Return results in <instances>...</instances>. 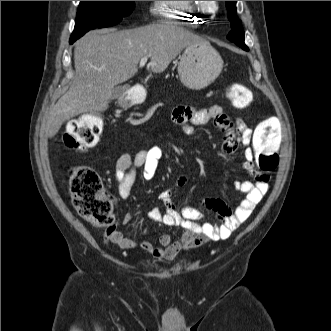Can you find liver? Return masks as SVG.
I'll return each mask as SVG.
<instances>
[{
    "mask_svg": "<svg viewBox=\"0 0 331 331\" xmlns=\"http://www.w3.org/2000/svg\"><path fill=\"white\" fill-rule=\"evenodd\" d=\"M199 41L204 40L166 21L87 33L75 43L73 82L45 117L46 136L54 137L66 120L81 113L107 110L115 86L137 73L143 57L149 56L151 70L161 73L184 48Z\"/></svg>",
    "mask_w": 331,
    "mask_h": 331,
    "instance_id": "liver-1",
    "label": "liver"
}]
</instances>
